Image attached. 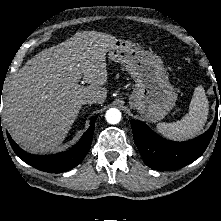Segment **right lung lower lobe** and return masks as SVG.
<instances>
[{"mask_svg":"<svg viewBox=\"0 0 221 221\" xmlns=\"http://www.w3.org/2000/svg\"><path fill=\"white\" fill-rule=\"evenodd\" d=\"M97 117H94L90 122V127L83 134L80 141L66 152H60L54 155H32L23 151L7 133L9 142L19 158H21L27 164L49 173H60L68 171L78 164L86 156L90 149L93 133L95 129V121ZM1 127V118H0ZM2 131V127H1Z\"/></svg>","mask_w":221,"mask_h":221,"instance_id":"right-lung-lower-lobe-1","label":"right lung lower lobe"}]
</instances>
